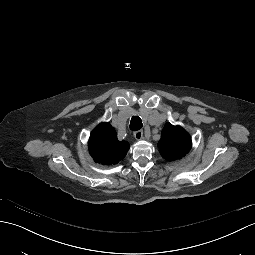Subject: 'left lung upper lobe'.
Listing matches in <instances>:
<instances>
[{
	"mask_svg": "<svg viewBox=\"0 0 255 255\" xmlns=\"http://www.w3.org/2000/svg\"><path fill=\"white\" fill-rule=\"evenodd\" d=\"M158 145L162 157L173 161L184 157L189 152L191 137L182 127L167 123L162 130Z\"/></svg>",
	"mask_w": 255,
	"mask_h": 255,
	"instance_id": "5c2ea615",
	"label": "left lung upper lobe"
}]
</instances>
